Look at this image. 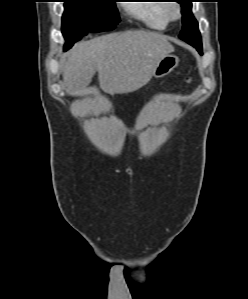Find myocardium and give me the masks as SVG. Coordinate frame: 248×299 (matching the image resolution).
I'll use <instances>...</instances> for the list:
<instances>
[{
	"label": "myocardium",
	"mask_w": 248,
	"mask_h": 299,
	"mask_svg": "<svg viewBox=\"0 0 248 299\" xmlns=\"http://www.w3.org/2000/svg\"><path fill=\"white\" fill-rule=\"evenodd\" d=\"M164 13L169 21L179 20L182 16V10L179 3H168L164 7Z\"/></svg>",
	"instance_id": "obj_1"
}]
</instances>
